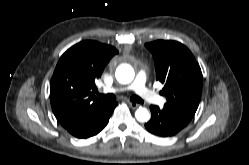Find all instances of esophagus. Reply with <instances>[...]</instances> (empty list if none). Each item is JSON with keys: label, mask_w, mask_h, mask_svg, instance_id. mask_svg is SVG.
<instances>
[{"label": "esophagus", "mask_w": 249, "mask_h": 165, "mask_svg": "<svg viewBox=\"0 0 249 165\" xmlns=\"http://www.w3.org/2000/svg\"><path fill=\"white\" fill-rule=\"evenodd\" d=\"M128 104L133 109H136V108H138L140 106L138 103L131 102V101H128Z\"/></svg>", "instance_id": "34e87169"}]
</instances>
